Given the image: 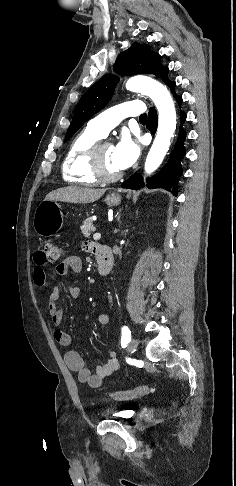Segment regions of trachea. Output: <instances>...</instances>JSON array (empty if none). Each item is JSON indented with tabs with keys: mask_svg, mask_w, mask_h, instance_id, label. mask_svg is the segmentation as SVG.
<instances>
[{
	"mask_svg": "<svg viewBox=\"0 0 236 486\" xmlns=\"http://www.w3.org/2000/svg\"><path fill=\"white\" fill-rule=\"evenodd\" d=\"M139 119H140V120H146V119H147V115H146V114H143V115H141V116H140V118H139Z\"/></svg>",
	"mask_w": 236,
	"mask_h": 486,
	"instance_id": "3493384b",
	"label": "trachea"
}]
</instances>
